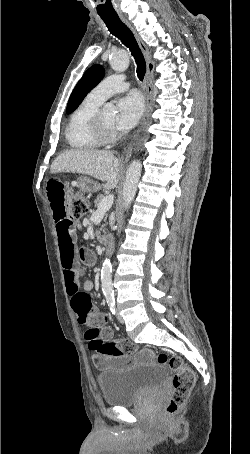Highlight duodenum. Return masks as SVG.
<instances>
[{
    "instance_id": "410a0bca",
    "label": "duodenum",
    "mask_w": 250,
    "mask_h": 454,
    "mask_svg": "<svg viewBox=\"0 0 250 454\" xmlns=\"http://www.w3.org/2000/svg\"><path fill=\"white\" fill-rule=\"evenodd\" d=\"M102 244L106 249H109L113 244V237L111 234H105L102 236Z\"/></svg>"
}]
</instances>
